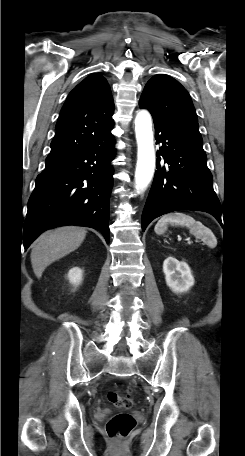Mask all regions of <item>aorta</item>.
<instances>
[{"label":"aorta","mask_w":245,"mask_h":456,"mask_svg":"<svg viewBox=\"0 0 245 456\" xmlns=\"http://www.w3.org/2000/svg\"><path fill=\"white\" fill-rule=\"evenodd\" d=\"M135 133L137 141L135 188L137 192H140L148 187L155 169L152 120L148 111L141 110L137 113L135 118Z\"/></svg>","instance_id":"aorta-1"}]
</instances>
